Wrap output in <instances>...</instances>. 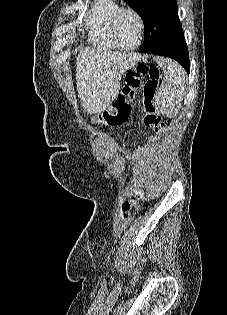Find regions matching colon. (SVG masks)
Masks as SVG:
<instances>
[{
  "label": "colon",
  "mask_w": 227,
  "mask_h": 315,
  "mask_svg": "<svg viewBox=\"0 0 227 315\" xmlns=\"http://www.w3.org/2000/svg\"><path fill=\"white\" fill-rule=\"evenodd\" d=\"M145 78L142 101L143 122L156 134L164 133L166 125L154 106L160 79V71L155 65L138 64L133 66L127 72L122 95L116 99L110 108L102 112L96 121L109 126L125 123L131 113L130 101L135 96V90ZM143 198L144 193L137 192L123 204L124 210L137 208Z\"/></svg>",
  "instance_id": "1"
}]
</instances>
